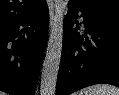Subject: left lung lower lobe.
<instances>
[{
	"instance_id": "1",
	"label": "left lung lower lobe",
	"mask_w": 119,
	"mask_h": 95,
	"mask_svg": "<svg viewBox=\"0 0 119 95\" xmlns=\"http://www.w3.org/2000/svg\"><path fill=\"white\" fill-rule=\"evenodd\" d=\"M78 12L85 33L77 31ZM119 87V20L105 18L69 3L64 19L63 46L56 95H70L94 84Z\"/></svg>"
}]
</instances>
